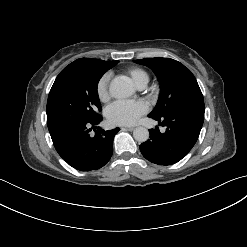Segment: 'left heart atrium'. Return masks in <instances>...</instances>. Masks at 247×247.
<instances>
[{
  "label": "left heart atrium",
  "mask_w": 247,
  "mask_h": 247,
  "mask_svg": "<svg viewBox=\"0 0 247 247\" xmlns=\"http://www.w3.org/2000/svg\"><path fill=\"white\" fill-rule=\"evenodd\" d=\"M148 111L143 101H117L109 106L107 117L117 125H131Z\"/></svg>",
  "instance_id": "obj_1"
}]
</instances>
